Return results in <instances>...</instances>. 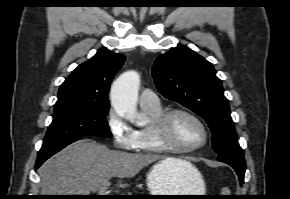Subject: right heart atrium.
I'll use <instances>...</instances> for the list:
<instances>
[{"instance_id": "right-heart-atrium-1", "label": "right heart atrium", "mask_w": 290, "mask_h": 199, "mask_svg": "<svg viewBox=\"0 0 290 199\" xmlns=\"http://www.w3.org/2000/svg\"><path fill=\"white\" fill-rule=\"evenodd\" d=\"M107 125L117 149H134L135 130L114 109H110L108 112Z\"/></svg>"}]
</instances>
